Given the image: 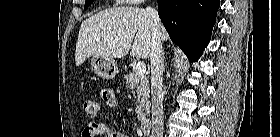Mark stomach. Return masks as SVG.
Returning <instances> with one entry per match:
<instances>
[{
	"mask_svg": "<svg viewBox=\"0 0 280 137\" xmlns=\"http://www.w3.org/2000/svg\"><path fill=\"white\" fill-rule=\"evenodd\" d=\"M91 65L95 74L103 79H112L118 73L117 64L113 59L94 56Z\"/></svg>",
	"mask_w": 280,
	"mask_h": 137,
	"instance_id": "stomach-1",
	"label": "stomach"
}]
</instances>
